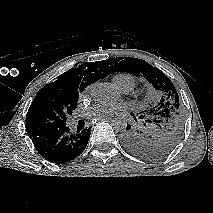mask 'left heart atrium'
I'll return each mask as SVG.
<instances>
[{
	"instance_id": "39dd6f15",
	"label": "left heart atrium",
	"mask_w": 213,
	"mask_h": 213,
	"mask_svg": "<svg viewBox=\"0 0 213 213\" xmlns=\"http://www.w3.org/2000/svg\"><path fill=\"white\" fill-rule=\"evenodd\" d=\"M121 110L122 106L120 105L99 103L89 108L86 112V115L87 117L92 119H100L110 117L111 115H114Z\"/></svg>"
}]
</instances>
